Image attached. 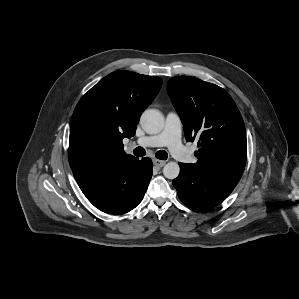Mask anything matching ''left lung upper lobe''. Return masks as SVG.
I'll return each mask as SVG.
<instances>
[{
	"label": "left lung upper lobe",
	"instance_id": "obj_1",
	"mask_svg": "<svg viewBox=\"0 0 299 299\" xmlns=\"http://www.w3.org/2000/svg\"><path fill=\"white\" fill-rule=\"evenodd\" d=\"M167 91L187 141L199 139L198 161L187 165L235 187L245 168L247 140L242 116L231 96L215 84L189 76L171 78Z\"/></svg>",
	"mask_w": 299,
	"mask_h": 299
}]
</instances>
